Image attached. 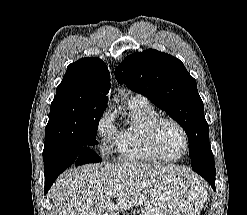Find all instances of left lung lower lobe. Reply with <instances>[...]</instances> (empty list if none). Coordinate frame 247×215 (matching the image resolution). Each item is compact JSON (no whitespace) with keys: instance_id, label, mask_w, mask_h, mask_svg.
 <instances>
[{"instance_id":"0a47b994","label":"left lung lower lobe","mask_w":247,"mask_h":215,"mask_svg":"<svg viewBox=\"0 0 247 215\" xmlns=\"http://www.w3.org/2000/svg\"><path fill=\"white\" fill-rule=\"evenodd\" d=\"M192 169L206 179L214 190L215 188V176L216 169L214 165V156L211 150L202 152L201 158L191 164Z\"/></svg>"}]
</instances>
